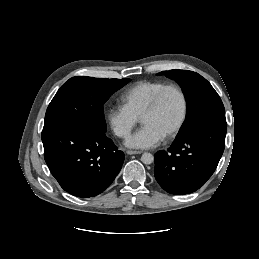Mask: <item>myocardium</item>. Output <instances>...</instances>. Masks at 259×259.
Here are the masks:
<instances>
[{
  "label": "myocardium",
  "mask_w": 259,
  "mask_h": 259,
  "mask_svg": "<svg viewBox=\"0 0 259 259\" xmlns=\"http://www.w3.org/2000/svg\"><path fill=\"white\" fill-rule=\"evenodd\" d=\"M170 90H175L179 94L181 101H182V111H181V116L179 118V121L177 122L175 127L164 136L165 139H170V138L176 136L183 128L186 118H187L188 100H187L185 92L183 91V89L180 86L175 85V84H168V85L164 86L155 95V97L152 100V102L150 103V105L145 109V111L142 113V115L140 117V119L142 121L144 117L156 112L159 109L164 96Z\"/></svg>",
  "instance_id": "f54148a6"
}]
</instances>
